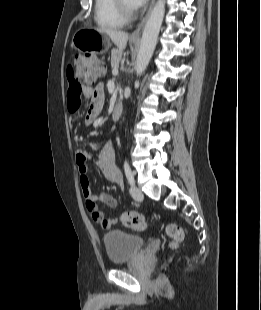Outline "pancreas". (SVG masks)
<instances>
[{
	"label": "pancreas",
	"instance_id": "1",
	"mask_svg": "<svg viewBox=\"0 0 261 310\" xmlns=\"http://www.w3.org/2000/svg\"><path fill=\"white\" fill-rule=\"evenodd\" d=\"M122 58V52L118 50H112L111 53V66L112 68H118L119 62Z\"/></svg>",
	"mask_w": 261,
	"mask_h": 310
}]
</instances>
